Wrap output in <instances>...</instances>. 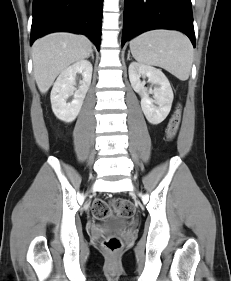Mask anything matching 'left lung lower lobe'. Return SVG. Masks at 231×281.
Wrapping results in <instances>:
<instances>
[{
	"label": "left lung lower lobe",
	"instance_id": "left-lung-lower-lobe-1",
	"mask_svg": "<svg viewBox=\"0 0 231 281\" xmlns=\"http://www.w3.org/2000/svg\"><path fill=\"white\" fill-rule=\"evenodd\" d=\"M154 29L184 32L195 47L190 0H125L122 45L132 36Z\"/></svg>",
	"mask_w": 231,
	"mask_h": 281
}]
</instances>
